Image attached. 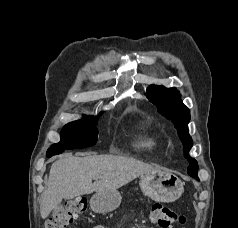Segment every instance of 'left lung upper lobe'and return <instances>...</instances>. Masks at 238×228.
<instances>
[{
	"label": "left lung upper lobe",
	"instance_id": "left-lung-upper-lobe-1",
	"mask_svg": "<svg viewBox=\"0 0 238 228\" xmlns=\"http://www.w3.org/2000/svg\"><path fill=\"white\" fill-rule=\"evenodd\" d=\"M147 98L157 106L158 112L171 120L177 128L178 135L184 145V156L188 159L190 166L187 173L198 179V164L194 158H191L189 151L192 147V138L188 133V123L190 120V111L182 103L180 93L175 88H165L164 86L150 85L147 90Z\"/></svg>",
	"mask_w": 238,
	"mask_h": 228
}]
</instances>
